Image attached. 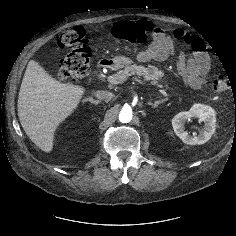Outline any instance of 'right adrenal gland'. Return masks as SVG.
Returning a JSON list of instances; mask_svg holds the SVG:
<instances>
[{
    "label": "right adrenal gland",
    "mask_w": 236,
    "mask_h": 236,
    "mask_svg": "<svg viewBox=\"0 0 236 236\" xmlns=\"http://www.w3.org/2000/svg\"><path fill=\"white\" fill-rule=\"evenodd\" d=\"M87 101H89L90 103L94 104L95 106L100 103L99 100H94L92 97L86 98V99L84 100V102H87Z\"/></svg>",
    "instance_id": "right-adrenal-gland-1"
}]
</instances>
